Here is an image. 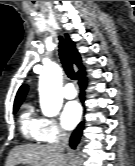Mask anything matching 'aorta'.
I'll return each mask as SVG.
<instances>
[{"label":"aorta","instance_id":"762f6f07","mask_svg":"<svg viewBox=\"0 0 135 166\" xmlns=\"http://www.w3.org/2000/svg\"><path fill=\"white\" fill-rule=\"evenodd\" d=\"M39 95L42 113L52 117L59 113L62 102V70L57 64L44 67L39 79Z\"/></svg>","mask_w":135,"mask_h":166}]
</instances>
